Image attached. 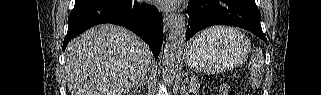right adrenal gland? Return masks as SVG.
<instances>
[{
	"mask_svg": "<svg viewBox=\"0 0 321 95\" xmlns=\"http://www.w3.org/2000/svg\"><path fill=\"white\" fill-rule=\"evenodd\" d=\"M146 81H147V76H145V77L135 86L134 90L132 91L133 94H135V92L137 91V89H138L139 87L144 88V86H145V84H146Z\"/></svg>",
	"mask_w": 321,
	"mask_h": 95,
	"instance_id": "right-adrenal-gland-1",
	"label": "right adrenal gland"
}]
</instances>
